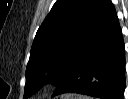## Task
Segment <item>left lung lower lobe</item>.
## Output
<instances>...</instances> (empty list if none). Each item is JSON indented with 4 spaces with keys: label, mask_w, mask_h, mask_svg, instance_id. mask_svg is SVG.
Returning a JSON list of instances; mask_svg holds the SVG:
<instances>
[{
    "label": "left lung lower lobe",
    "mask_w": 128,
    "mask_h": 99,
    "mask_svg": "<svg viewBox=\"0 0 128 99\" xmlns=\"http://www.w3.org/2000/svg\"><path fill=\"white\" fill-rule=\"evenodd\" d=\"M52 97L63 93L123 99L125 48L116 10L109 3L89 38L65 67Z\"/></svg>",
    "instance_id": "1"
}]
</instances>
